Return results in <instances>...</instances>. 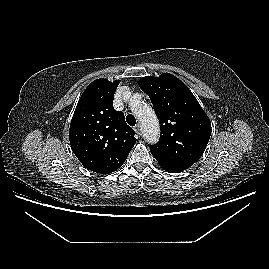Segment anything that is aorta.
I'll return each mask as SVG.
<instances>
[{
    "mask_svg": "<svg viewBox=\"0 0 269 269\" xmlns=\"http://www.w3.org/2000/svg\"><path fill=\"white\" fill-rule=\"evenodd\" d=\"M132 111L138 117L144 139L149 143H155L159 138V122L154 110L145 102L133 96L130 103Z\"/></svg>",
    "mask_w": 269,
    "mask_h": 269,
    "instance_id": "obj_1",
    "label": "aorta"
}]
</instances>
